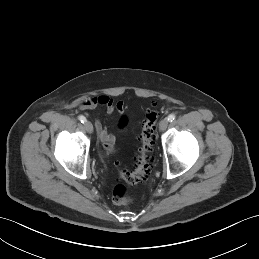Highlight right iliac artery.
Segmentation results:
<instances>
[{
	"instance_id": "obj_1",
	"label": "right iliac artery",
	"mask_w": 259,
	"mask_h": 259,
	"mask_svg": "<svg viewBox=\"0 0 259 259\" xmlns=\"http://www.w3.org/2000/svg\"><path fill=\"white\" fill-rule=\"evenodd\" d=\"M79 120L81 121V123H85L87 121L83 115L79 116Z\"/></svg>"
}]
</instances>
